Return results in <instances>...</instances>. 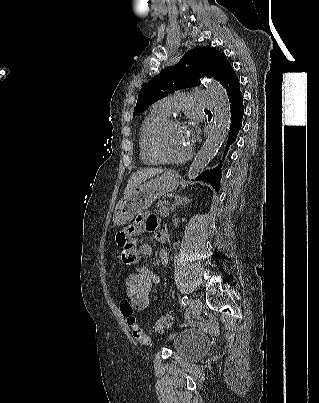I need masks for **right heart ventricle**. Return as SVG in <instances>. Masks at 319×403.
Here are the masks:
<instances>
[{"instance_id": "obj_1", "label": "right heart ventricle", "mask_w": 319, "mask_h": 403, "mask_svg": "<svg viewBox=\"0 0 319 403\" xmlns=\"http://www.w3.org/2000/svg\"><path fill=\"white\" fill-rule=\"evenodd\" d=\"M168 114L157 109L155 106L144 117L139 129V153L143 163L147 165H157L161 161L151 150V138L156 128L167 119Z\"/></svg>"}]
</instances>
